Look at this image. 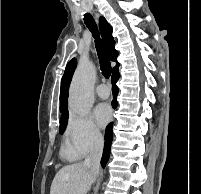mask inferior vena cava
Wrapping results in <instances>:
<instances>
[{"instance_id":"obj_1","label":"inferior vena cava","mask_w":201,"mask_h":194,"mask_svg":"<svg viewBox=\"0 0 201 194\" xmlns=\"http://www.w3.org/2000/svg\"><path fill=\"white\" fill-rule=\"evenodd\" d=\"M104 140L101 136L96 137L90 147V152L85 158L84 164L89 167L95 176L100 169V160L103 153Z\"/></svg>"}]
</instances>
